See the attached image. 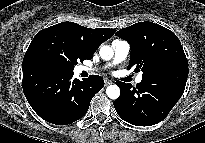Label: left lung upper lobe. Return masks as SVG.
Masks as SVG:
<instances>
[{
  "label": "left lung upper lobe",
  "instance_id": "5c2ea615",
  "mask_svg": "<svg viewBox=\"0 0 205 143\" xmlns=\"http://www.w3.org/2000/svg\"><path fill=\"white\" fill-rule=\"evenodd\" d=\"M116 35L130 44L128 67H135V72L142 70V77L170 69L188 70V61L180 40L161 25L138 22L120 29Z\"/></svg>",
  "mask_w": 205,
  "mask_h": 143
}]
</instances>
